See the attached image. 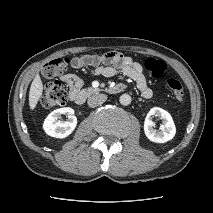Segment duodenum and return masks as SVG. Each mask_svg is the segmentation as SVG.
<instances>
[{
  "label": "duodenum",
  "mask_w": 213,
  "mask_h": 213,
  "mask_svg": "<svg viewBox=\"0 0 213 213\" xmlns=\"http://www.w3.org/2000/svg\"><path fill=\"white\" fill-rule=\"evenodd\" d=\"M126 86L124 84H116L114 86L108 87L106 89L99 88H90L79 91L74 97V102L76 104H83L85 101L92 96L100 95V94H119L125 90Z\"/></svg>",
  "instance_id": "410a0bca"
}]
</instances>
